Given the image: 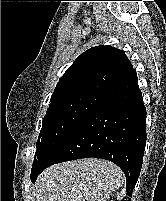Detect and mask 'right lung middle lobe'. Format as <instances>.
<instances>
[{
	"label": "right lung middle lobe",
	"instance_id": "1",
	"mask_svg": "<svg viewBox=\"0 0 166 201\" xmlns=\"http://www.w3.org/2000/svg\"><path fill=\"white\" fill-rule=\"evenodd\" d=\"M103 98L85 95L49 107L43 118L30 177L41 169L55 149L98 107Z\"/></svg>",
	"mask_w": 166,
	"mask_h": 201
}]
</instances>
